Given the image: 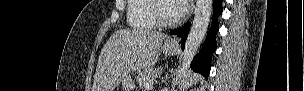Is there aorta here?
I'll return each mask as SVG.
<instances>
[{
	"label": "aorta",
	"instance_id": "aorta-1",
	"mask_svg": "<svg viewBox=\"0 0 304 91\" xmlns=\"http://www.w3.org/2000/svg\"><path fill=\"white\" fill-rule=\"evenodd\" d=\"M212 4L213 0H196L195 16L185 43L182 66L177 78L173 82L172 90H174L178 80L190 67L191 62L206 35L210 22Z\"/></svg>",
	"mask_w": 304,
	"mask_h": 91
}]
</instances>
